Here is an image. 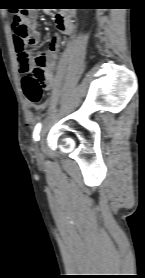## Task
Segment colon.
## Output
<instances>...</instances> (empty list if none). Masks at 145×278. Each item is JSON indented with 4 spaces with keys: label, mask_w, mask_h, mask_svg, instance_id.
I'll list each match as a JSON object with an SVG mask.
<instances>
[{
    "label": "colon",
    "mask_w": 145,
    "mask_h": 278,
    "mask_svg": "<svg viewBox=\"0 0 145 278\" xmlns=\"http://www.w3.org/2000/svg\"><path fill=\"white\" fill-rule=\"evenodd\" d=\"M12 34L16 38L15 44L18 54L26 53V39L28 29L24 18L17 16L12 26ZM36 66L29 72H26L22 78V87L26 99L34 105H38L43 100V89L45 86V66L46 61L42 55H36L33 58Z\"/></svg>",
    "instance_id": "1"
}]
</instances>
